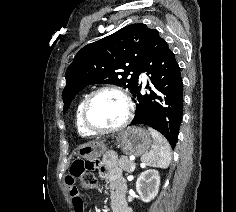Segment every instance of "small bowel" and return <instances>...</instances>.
<instances>
[{
  "mask_svg": "<svg viewBox=\"0 0 236 212\" xmlns=\"http://www.w3.org/2000/svg\"><path fill=\"white\" fill-rule=\"evenodd\" d=\"M102 176L108 179L110 183V205L113 212H130L126 200L125 191L126 184L122 178L121 171L111 165L108 159L101 162ZM72 200L74 212H84V202L82 196L75 186L81 184V179L78 175H67L65 180Z\"/></svg>",
  "mask_w": 236,
  "mask_h": 212,
  "instance_id": "obj_1",
  "label": "small bowel"
}]
</instances>
